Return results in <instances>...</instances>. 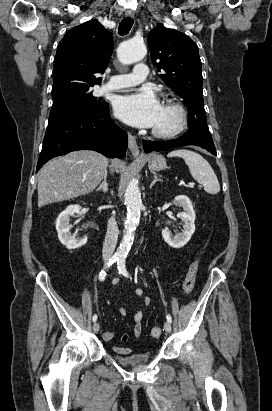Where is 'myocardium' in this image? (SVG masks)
<instances>
[{
	"instance_id": "obj_1",
	"label": "myocardium",
	"mask_w": 272,
	"mask_h": 411,
	"mask_svg": "<svg viewBox=\"0 0 272 411\" xmlns=\"http://www.w3.org/2000/svg\"><path fill=\"white\" fill-rule=\"evenodd\" d=\"M163 108L169 109L175 114V124L169 129H159L155 127L152 130V134L160 139H171L182 133L186 128L188 121L187 113L185 108L175 100L166 101Z\"/></svg>"
}]
</instances>
